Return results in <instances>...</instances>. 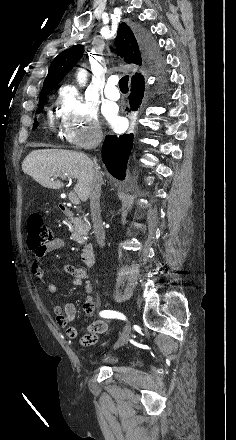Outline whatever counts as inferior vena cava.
Masks as SVG:
<instances>
[{
	"mask_svg": "<svg viewBox=\"0 0 236 440\" xmlns=\"http://www.w3.org/2000/svg\"><path fill=\"white\" fill-rule=\"evenodd\" d=\"M101 141L102 135L100 133H96L94 135L93 146H98ZM102 183L103 181L101 172L96 164V160H94V180L90 192V209L95 237L100 247H103L105 245V231L102 225L100 212V196Z\"/></svg>",
	"mask_w": 236,
	"mask_h": 440,
	"instance_id": "1",
	"label": "inferior vena cava"
}]
</instances>
